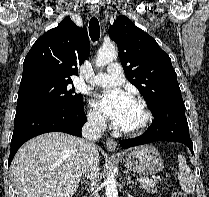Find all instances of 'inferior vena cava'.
<instances>
[{
	"instance_id": "1",
	"label": "inferior vena cava",
	"mask_w": 209,
	"mask_h": 197,
	"mask_svg": "<svg viewBox=\"0 0 209 197\" xmlns=\"http://www.w3.org/2000/svg\"><path fill=\"white\" fill-rule=\"evenodd\" d=\"M106 129V121L100 114H94L88 117L87 122L82 128L83 139H79L85 151V160L82 168L83 175L90 184V191L94 197H99L96 188L99 180V165L97 158V148L94 141L101 138L102 133Z\"/></svg>"
}]
</instances>
